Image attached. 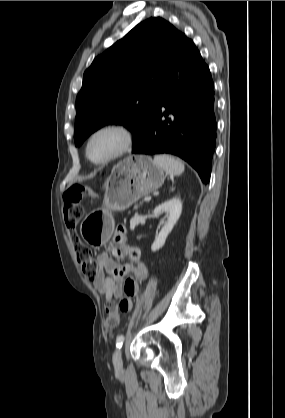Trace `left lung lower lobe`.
<instances>
[{
    "label": "left lung lower lobe",
    "instance_id": "1",
    "mask_svg": "<svg viewBox=\"0 0 285 418\" xmlns=\"http://www.w3.org/2000/svg\"><path fill=\"white\" fill-rule=\"evenodd\" d=\"M213 88L207 64L193 41L184 36L147 130L132 152L179 156L198 172L203 183H208L217 136Z\"/></svg>",
    "mask_w": 285,
    "mask_h": 418
}]
</instances>
